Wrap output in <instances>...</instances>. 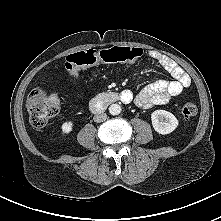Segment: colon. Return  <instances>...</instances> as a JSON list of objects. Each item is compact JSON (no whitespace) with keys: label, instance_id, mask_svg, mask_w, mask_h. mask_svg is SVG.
<instances>
[{"label":"colon","instance_id":"1","mask_svg":"<svg viewBox=\"0 0 221 221\" xmlns=\"http://www.w3.org/2000/svg\"><path fill=\"white\" fill-rule=\"evenodd\" d=\"M142 49L137 47H112L109 49H89L74 53L67 57L66 68L72 74L81 69L95 66L99 63H135L142 56ZM27 109L31 124L36 128L44 127L59 109L58 98L54 94L47 93L43 89H34L27 99ZM185 118L195 117L198 108L195 104L186 103L181 108Z\"/></svg>","mask_w":221,"mask_h":221}]
</instances>
